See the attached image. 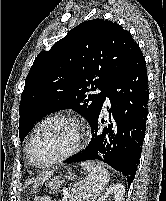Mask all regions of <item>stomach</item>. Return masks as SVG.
I'll return each instance as SVG.
<instances>
[{
    "label": "stomach",
    "instance_id": "stomach-1",
    "mask_svg": "<svg viewBox=\"0 0 166 201\" xmlns=\"http://www.w3.org/2000/svg\"><path fill=\"white\" fill-rule=\"evenodd\" d=\"M69 178L72 177L71 174H69L68 176ZM62 181H61V178L60 177H54L50 180V182L48 183V187L50 189H53V190H56L57 188L60 187Z\"/></svg>",
    "mask_w": 166,
    "mask_h": 201
}]
</instances>
